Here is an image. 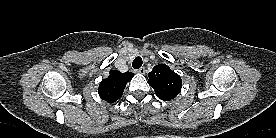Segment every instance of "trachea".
I'll use <instances>...</instances> for the list:
<instances>
[{"label": "trachea", "instance_id": "1", "mask_svg": "<svg viewBox=\"0 0 276 138\" xmlns=\"http://www.w3.org/2000/svg\"><path fill=\"white\" fill-rule=\"evenodd\" d=\"M142 63H143L142 58L138 56L133 60L132 67L134 69H139L142 66Z\"/></svg>", "mask_w": 276, "mask_h": 138}]
</instances>
